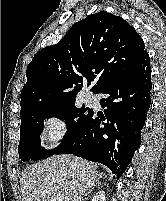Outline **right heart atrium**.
<instances>
[{
	"instance_id": "d8ad5b80",
	"label": "right heart atrium",
	"mask_w": 166,
	"mask_h": 201,
	"mask_svg": "<svg viewBox=\"0 0 166 201\" xmlns=\"http://www.w3.org/2000/svg\"><path fill=\"white\" fill-rule=\"evenodd\" d=\"M65 133V122L58 116H49L42 125L41 137L45 144L55 145L60 142Z\"/></svg>"
}]
</instances>
